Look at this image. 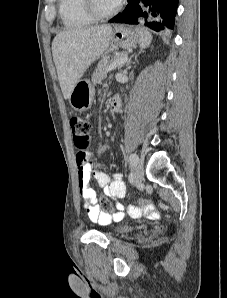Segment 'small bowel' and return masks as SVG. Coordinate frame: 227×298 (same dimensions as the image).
Returning <instances> with one entry per match:
<instances>
[{
  "label": "small bowel",
  "instance_id": "c3829d8e",
  "mask_svg": "<svg viewBox=\"0 0 227 298\" xmlns=\"http://www.w3.org/2000/svg\"><path fill=\"white\" fill-rule=\"evenodd\" d=\"M75 158L78 169L79 190L84 201L86 214L94 222L101 223L110 221L112 217L108 213L101 211L97 203L96 193L91 184V178L92 176L95 178L98 186L103 189L108 197L117 200L123 198L125 195V185L121 175L115 174L111 177L106 172L96 169L88 151L77 152ZM116 207L119 211L114 214L113 218L120 220L124 215L123 206L119 202H116ZM128 211L131 215H133L132 212L138 215L140 208H136L133 204H130ZM143 211L155 215L153 207H144Z\"/></svg>",
  "mask_w": 227,
  "mask_h": 298
}]
</instances>
